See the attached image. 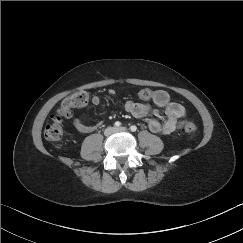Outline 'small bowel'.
Listing matches in <instances>:
<instances>
[{
	"label": "small bowel",
	"instance_id": "c3829d8e",
	"mask_svg": "<svg viewBox=\"0 0 243 243\" xmlns=\"http://www.w3.org/2000/svg\"><path fill=\"white\" fill-rule=\"evenodd\" d=\"M148 92L149 96H145L144 93ZM113 90H109V94H113ZM143 102H137L134 100H127L124 108L125 110L136 118L145 117L150 111L152 106H155L157 110H163L166 115V121L162 123L157 115H155L149 121V128L154 133L158 134H171L174 131L180 129L183 125L182 118L185 115V108L176 102L170 100V95L167 91L159 89L153 93L149 89H141L139 92ZM151 98V102L148 100ZM101 102V98L97 95L92 97V103L98 105ZM73 124L77 130L83 133H89L97 129L101 123L90 125L85 123L79 117L73 118Z\"/></svg>",
	"mask_w": 243,
	"mask_h": 243
}]
</instances>
